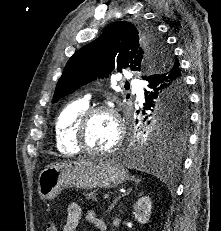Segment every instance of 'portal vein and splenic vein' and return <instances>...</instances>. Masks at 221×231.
I'll use <instances>...</instances> for the list:
<instances>
[{"label": "portal vein and splenic vein", "mask_w": 221, "mask_h": 231, "mask_svg": "<svg viewBox=\"0 0 221 231\" xmlns=\"http://www.w3.org/2000/svg\"><path fill=\"white\" fill-rule=\"evenodd\" d=\"M102 197H103L104 199H108V198H109V194H103Z\"/></svg>", "instance_id": "portal-vein-and-splenic-vein-1"}]
</instances>
